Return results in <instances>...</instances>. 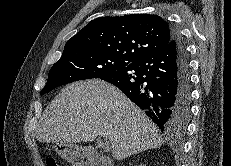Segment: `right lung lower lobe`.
Segmentation results:
<instances>
[{
	"label": "right lung lower lobe",
	"mask_w": 231,
	"mask_h": 166,
	"mask_svg": "<svg viewBox=\"0 0 231 166\" xmlns=\"http://www.w3.org/2000/svg\"><path fill=\"white\" fill-rule=\"evenodd\" d=\"M100 79L118 87L168 135L183 134L189 121L191 82L180 33L162 50L141 57Z\"/></svg>",
	"instance_id": "right-lung-lower-lobe-1"
}]
</instances>
